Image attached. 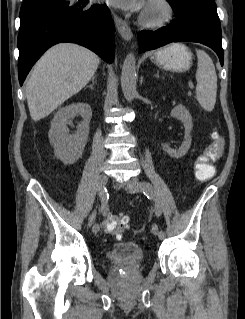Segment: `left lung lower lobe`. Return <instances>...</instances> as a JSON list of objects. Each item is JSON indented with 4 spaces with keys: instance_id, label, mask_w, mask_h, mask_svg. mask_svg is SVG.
Returning <instances> with one entry per match:
<instances>
[{
    "instance_id": "obj_1",
    "label": "left lung lower lobe",
    "mask_w": 245,
    "mask_h": 319,
    "mask_svg": "<svg viewBox=\"0 0 245 319\" xmlns=\"http://www.w3.org/2000/svg\"><path fill=\"white\" fill-rule=\"evenodd\" d=\"M175 16V21L155 32L141 31L139 52L156 49L172 42H198L212 48L223 65L224 52L219 18L195 10L175 13Z\"/></svg>"
}]
</instances>
